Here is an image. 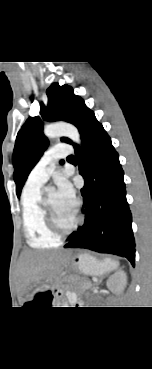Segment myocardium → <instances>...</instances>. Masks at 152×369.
Returning <instances> with one entry per match:
<instances>
[{
  "label": "myocardium",
  "instance_id": "obj_1",
  "mask_svg": "<svg viewBox=\"0 0 152 369\" xmlns=\"http://www.w3.org/2000/svg\"><path fill=\"white\" fill-rule=\"evenodd\" d=\"M42 208L45 214V221H46V225L48 227V229L50 230V232L52 234H54L57 238H63L66 237L68 235H70L73 231H75L80 223V217L77 215V213L75 214V219L73 221V223L71 224V226H69L68 228H62L52 210L50 209L48 203H47V199L43 198L42 199Z\"/></svg>",
  "mask_w": 152,
  "mask_h": 369
}]
</instances>
